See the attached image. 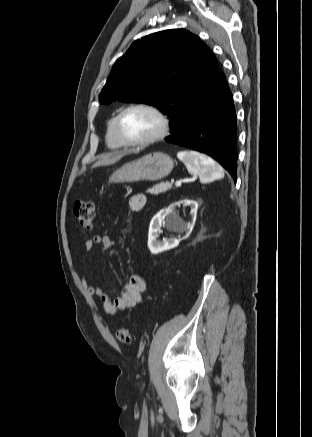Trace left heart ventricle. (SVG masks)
<instances>
[{
	"instance_id": "1",
	"label": "left heart ventricle",
	"mask_w": 312,
	"mask_h": 437,
	"mask_svg": "<svg viewBox=\"0 0 312 437\" xmlns=\"http://www.w3.org/2000/svg\"><path fill=\"white\" fill-rule=\"evenodd\" d=\"M159 129V120L146 109H133L122 119V130L132 140H141L154 135Z\"/></svg>"
}]
</instances>
